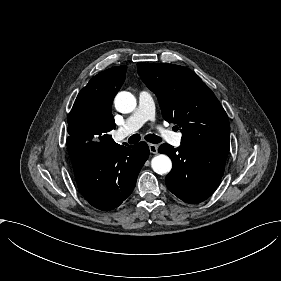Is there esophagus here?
<instances>
[{
    "instance_id": "esophagus-1",
    "label": "esophagus",
    "mask_w": 281,
    "mask_h": 281,
    "mask_svg": "<svg viewBox=\"0 0 281 281\" xmlns=\"http://www.w3.org/2000/svg\"><path fill=\"white\" fill-rule=\"evenodd\" d=\"M148 147H149L151 153L156 154L158 152V146L157 145L149 143Z\"/></svg>"
}]
</instances>
